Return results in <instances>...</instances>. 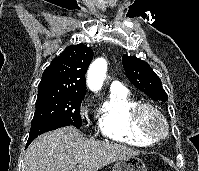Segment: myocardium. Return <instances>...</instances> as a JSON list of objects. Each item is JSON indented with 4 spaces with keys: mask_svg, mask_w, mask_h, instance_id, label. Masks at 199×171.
<instances>
[{
    "mask_svg": "<svg viewBox=\"0 0 199 171\" xmlns=\"http://www.w3.org/2000/svg\"><path fill=\"white\" fill-rule=\"evenodd\" d=\"M152 118H155L158 124H154ZM134 119L138 130L156 141L169 135L170 125L167 117L150 103H140L135 110Z\"/></svg>",
    "mask_w": 199,
    "mask_h": 171,
    "instance_id": "obj_1",
    "label": "myocardium"
}]
</instances>
